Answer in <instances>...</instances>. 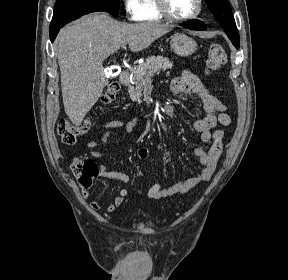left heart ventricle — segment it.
I'll list each match as a JSON object with an SVG mask.
<instances>
[{
	"label": "left heart ventricle",
	"instance_id": "1",
	"mask_svg": "<svg viewBox=\"0 0 288 280\" xmlns=\"http://www.w3.org/2000/svg\"><path fill=\"white\" fill-rule=\"evenodd\" d=\"M171 13L178 17L192 14L197 6V0H167Z\"/></svg>",
	"mask_w": 288,
	"mask_h": 280
}]
</instances>
